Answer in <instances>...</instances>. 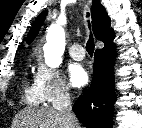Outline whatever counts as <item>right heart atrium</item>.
Instances as JSON below:
<instances>
[{
	"label": "right heart atrium",
	"mask_w": 142,
	"mask_h": 128,
	"mask_svg": "<svg viewBox=\"0 0 142 128\" xmlns=\"http://www.w3.org/2000/svg\"><path fill=\"white\" fill-rule=\"evenodd\" d=\"M35 85L42 102L57 104L70 97L69 87L60 73L42 62L37 66Z\"/></svg>",
	"instance_id": "obj_1"
}]
</instances>
